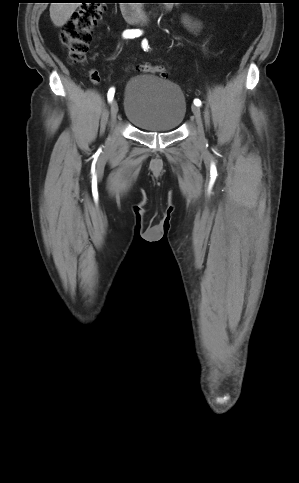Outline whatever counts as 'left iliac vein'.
I'll return each instance as SVG.
<instances>
[{"instance_id": "1", "label": "left iliac vein", "mask_w": 299, "mask_h": 483, "mask_svg": "<svg viewBox=\"0 0 299 483\" xmlns=\"http://www.w3.org/2000/svg\"><path fill=\"white\" fill-rule=\"evenodd\" d=\"M191 110L194 114V117H195L197 125H198L199 139H200L201 142H203L205 137H204V129H203V124H202V118H201V110L196 105H192Z\"/></svg>"}]
</instances>
